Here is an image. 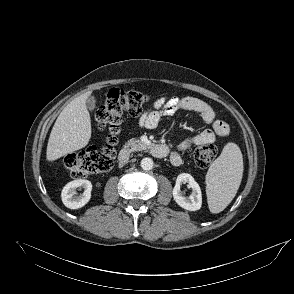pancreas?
I'll use <instances>...</instances> for the list:
<instances>
[{
  "label": "pancreas",
  "instance_id": "obj_1",
  "mask_svg": "<svg viewBox=\"0 0 294 294\" xmlns=\"http://www.w3.org/2000/svg\"><path fill=\"white\" fill-rule=\"evenodd\" d=\"M147 147L148 145L146 143L137 138L128 140L124 145V148L129 152L145 150Z\"/></svg>",
  "mask_w": 294,
  "mask_h": 294
}]
</instances>
